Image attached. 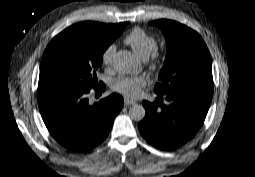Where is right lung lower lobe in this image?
Returning <instances> with one entry per match:
<instances>
[{
  "mask_svg": "<svg viewBox=\"0 0 255 177\" xmlns=\"http://www.w3.org/2000/svg\"><path fill=\"white\" fill-rule=\"evenodd\" d=\"M104 88L101 83L94 89ZM89 92L49 88L37 94L47 129L57 142L75 152L89 151L104 141L124 104L121 95L112 94L90 105L87 98Z\"/></svg>",
  "mask_w": 255,
  "mask_h": 177,
  "instance_id": "obj_1",
  "label": "right lung lower lobe"
}]
</instances>
